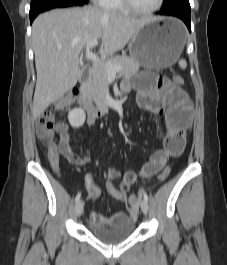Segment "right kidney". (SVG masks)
I'll list each match as a JSON object with an SVG mask.
<instances>
[{"label": "right kidney", "instance_id": "1", "mask_svg": "<svg viewBox=\"0 0 227 265\" xmlns=\"http://www.w3.org/2000/svg\"><path fill=\"white\" fill-rule=\"evenodd\" d=\"M86 119L85 112L82 108H75L68 113V120L73 128L81 127Z\"/></svg>", "mask_w": 227, "mask_h": 265}]
</instances>
